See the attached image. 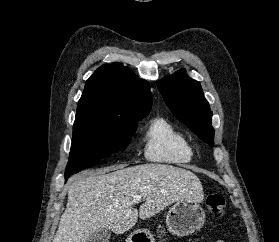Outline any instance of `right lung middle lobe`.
Here are the masks:
<instances>
[{
  "label": "right lung middle lobe",
  "instance_id": "obj_1",
  "mask_svg": "<svg viewBox=\"0 0 279 242\" xmlns=\"http://www.w3.org/2000/svg\"><path fill=\"white\" fill-rule=\"evenodd\" d=\"M137 122L76 117L65 179L125 150L137 129Z\"/></svg>",
  "mask_w": 279,
  "mask_h": 242
}]
</instances>
